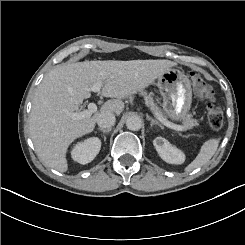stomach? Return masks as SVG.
Here are the masks:
<instances>
[{
  "label": "stomach",
  "mask_w": 245,
  "mask_h": 245,
  "mask_svg": "<svg viewBox=\"0 0 245 245\" xmlns=\"http://www.w3.org/2000/svg\"><path fill=\"white\" fill-rule=\"evenodd\" d=\"M157 86L164 100L165 112L174 119L186 115L191 105V84L184 72L168 67L157 76Z\"/></svg>",
  "instance_id": "obj_1"
}]
</instances>
